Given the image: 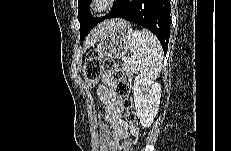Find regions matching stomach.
<instances>
[{
    "label": "stomach",
    "instance_id": "stomach-1",
    "mask_svg": "<svg viewBox=\"0 0 231 151\" xmlns=\"http://www.w3.org/2000/svg\"><path fill=\"white\" fill-rule=\"evenodd\" d=\"M131 32L129 26L108 30L100 39L95 50L98 58H122L128 52L127 36Z\"/></svg>",
    "mask_w": 231,
    "mask_h": 151
}]
</instances>
